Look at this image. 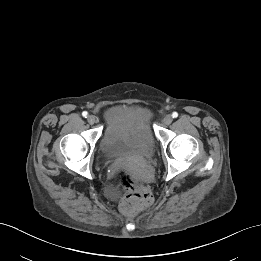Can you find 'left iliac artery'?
<instances>
[{
  "label": "left iliac artery",
  "instance_id": "44dca946",
  "mask_svg": "<svg viewBox=\"0 0 261 261\" xmlns=\"http://www.w3.org/2000/svg\"><path fill=\"white\" fill-rule=\"evenodd\" d=\"M172 117H173V118H177V117H178V113H177V112H173V113H172Z\"/></svg>",
  "mask_w": 261,
  "mask_h": 261
}]
</instances>
